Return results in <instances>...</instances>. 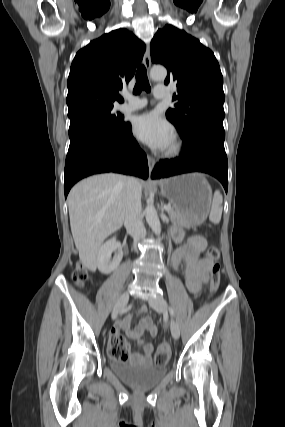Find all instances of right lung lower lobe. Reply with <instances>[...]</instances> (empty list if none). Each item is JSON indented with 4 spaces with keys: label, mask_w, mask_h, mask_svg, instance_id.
<instances>
[{
    "label": "right lung lower lobe",
    "mask_w": 285,
    "mask_h": 427,
    "mask_svg": "<svg viewBox=\"0 0 285 427\" xmlns=\"http://www.w3.org/2000/svg\"><path fill=\"white\" fill-rule=\"evenodd\" d=\"M104 172L148 178L146 154L132 136L129 122L119 131L89 126L80 129L70 137L65 164V197L80 179Z\"/></svg>",
    "instance_id": "1"
}]
</instances>
